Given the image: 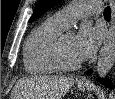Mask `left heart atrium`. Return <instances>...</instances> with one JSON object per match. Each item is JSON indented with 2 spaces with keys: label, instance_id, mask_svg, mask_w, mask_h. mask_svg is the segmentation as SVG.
I'll return each instance as SVG.
<instances>
[{
  "label": "left heart atrium",
  "instance_id": "left-heart-atrium-1",
  "mask_svg": "<svg viewBox=\"0 0 115 99\" xmlns=\"http://www.w3.org/2000/svg\"><path fill=\"white\" fill-rule=\"evenodd\" d=\"M103 31L91 24H84L75 37V50L80 61L89 59L101 42Z\"/></svg>",
  "mask_w": 115,
  "mask_h": 99
}]
</instances>
